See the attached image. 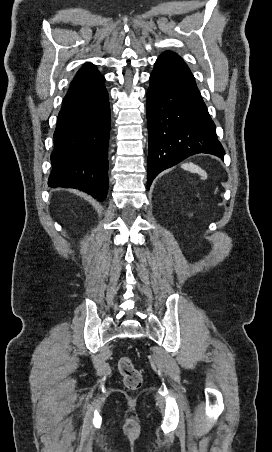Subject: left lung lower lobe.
<instances>
[{"label": "left lung lower lobe", "instance_id": "left-lung-lower-lobe-1", "mask_svg": "<svg viewBox=\"0 0 272 452\" xmlns=\"http://www.w3.org/2000/svg\"><path fill=\"white\" fill-rule=\"evenodd\" d=\"M149 156L147 187L163 170L185 158L208 153L223 158L216 126L188 66L171 51L162 53L147 92Z\"/></svg>", "mask_w": 272, "mask_h": 452}]
</instances>
